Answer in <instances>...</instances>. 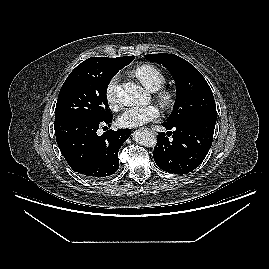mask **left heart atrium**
<instances>
[{
	"label": "left heart atrium",
	"instance_id": "obj_1",
	"mask_svg": "<svg viewBox=\"0 0 269 269\" xmlns=\"http://www.w3.org/2000/svg\"><path fill=\"white\" fill-rule=\"evenodd\" d=\"M159 109L154 105L127 108L118 118L121 127L134 128L158 120Z\"/></svg>",
	"mask_w": 269,
	"mask_h": 269
}]
</instances>
